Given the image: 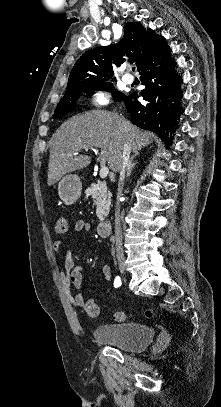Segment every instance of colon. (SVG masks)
Returning <instances> with one entry per match:
<instances>
[{
    "label": "colon",
    "instance_id": "obj_1",
    "mask_svg": "<svg viewBox=\"0 0 221 407\" xmlns=\"http://www.w3.org/2000/svg\"><path fill=\"white\" fill-rule=\"evenodd\" d=\"M55 231L57 234H66L68 232V223L67 220L64 216H59L56 220L55 224ZM84 309L86 313L90 317H96L99 314V308L96 305V303L92 299H86L84 301ZM146 316L147 317H152L153 313L151 310L146 311ZM128 316L125 311H118L114 315V319L118 322H124L127 320Z\"/></svg>",
    "mask_w": 221,
    "mask_h": 407
}]
</instances>
